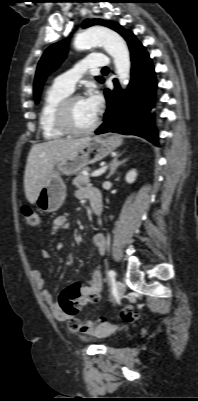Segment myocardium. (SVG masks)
<instances>
[{
	"mask_svg": "<svg viewBox=\"0 0 198 401\" xmlns=\"http://www.w3.org/2000/svg\"><path fill=\"white\" fill-rule=\"evenodd\" d=\"M83 99L80 94H69L58 105L55 121L58 128L67 135H83L94 131L100 124V116L97 114L94 122L86 128H77L71 122V106L78 100Z\"/></svg>",
	"mask_w": 198,
	"mask_h": 401,
	"instance_id": "myocardium-1",
	"label": "myocardium"
}]
</instances>
